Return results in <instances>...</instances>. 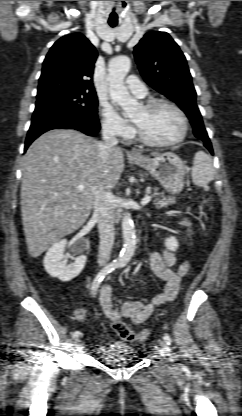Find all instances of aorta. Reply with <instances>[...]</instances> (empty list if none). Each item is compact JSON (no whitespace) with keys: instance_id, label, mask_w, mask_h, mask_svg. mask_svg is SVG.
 Masks as SVG:
<instances>
[{"instance_id":"762f6f07","label":"aorta","mask_w":242,"mask_h":416,"mask_svg":"<svg viewBox=\"0 0 242 416\" xmlns=\"http://www.w3.org/2000/svg\"><path fill=\"white\" fill-rule=\"evenodd\" d=\"M131 67V61L127 56L113 58L108 65V81L110 97L127 114H130L137 105L124 85V78ZM123 248L115 260L119 266H125L131 260L136 248V235L134 223L129 213H124L122 218Z\"/></svg>"}]
</instances>
